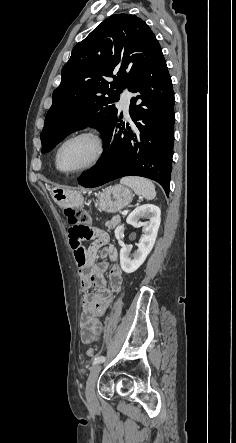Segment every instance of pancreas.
Returning a JSON list of instances; mask_svg holds the SVG:
<instances>
[{"mask_svg": "<svg viewBox=\"0 0 236 443\" xmlns=\"http://www.w3.org/2000/svg\"><path fill=\"white\" fill-rule=\"evenodd\" d=\"M121 222L120 216H114L110 221H107L105 223V226L108 227V229H115L116 226H118Z\"/></svg>", "mask_w": 236, "mask_h": 443, "instance_id": "cf45deb5", "label": "pancreas"}]
</instances>
